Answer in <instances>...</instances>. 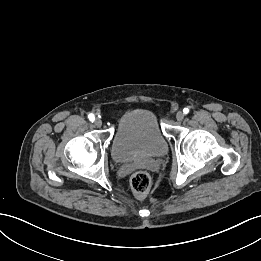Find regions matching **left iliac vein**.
Returning a JSON list of instances; mask_svg holds the SVG:
<instances>
[{
  "mask_svg": "<svg viewBox=\"0 0 261 261\" xmlns=\"http://www.w3.org/2000/svg\"><path fill=\"white\" fill-rule=\"evenodd\" d=\"M176 119L182 121L184 119V113L182 111L177 112Z\"/></svg>",
  "mask_w": 261,
  "mask_h": 261,
  "instance_id": "1",
  "label": "left iliac vein"
}]
</instances>
